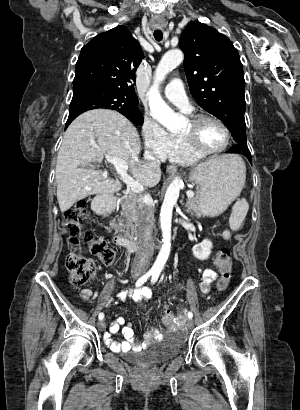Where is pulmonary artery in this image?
<instances>
[{"mask_svg": "<svg viewBox=\"0 0 300 410\" xmlns=\"http://www.w3.org/2000/svg\"><path fill=\"white\" fill-rule=\"evenodd\" d=\"M164 95L168 101L189 112L192 107L189 105L188 97L180 79H172L164 89Z\"/></svg>", "mask_w": 300, "mask_h": 410, "instance_id": "e3ab8cb5", "label": "pulmonary artery"}]
</instances>
